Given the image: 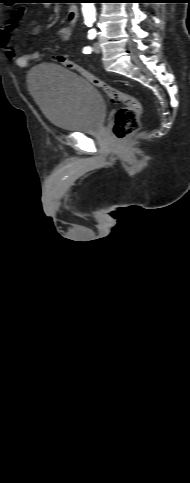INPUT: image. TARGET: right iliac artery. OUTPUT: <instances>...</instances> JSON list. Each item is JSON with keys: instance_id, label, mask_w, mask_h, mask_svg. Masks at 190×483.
I'll list each match as a JSON object with an SVG mask.
<instances>
[{"instance_id": "82829eb1", "label": "right iliac artery", "mask_w": 190, "mask_h": 483, "mask_svg": "<svg viewBox=\"0 0 190 483\" xmlns=\"http://www.w3.org/2000/svg\"><path fill=\"white\" fill-rule=\"evenodd\" d=\"M86 25H87V26H89V27H91V26H92V24H91V23H87Z\"/></svg>"}]
</instances>
